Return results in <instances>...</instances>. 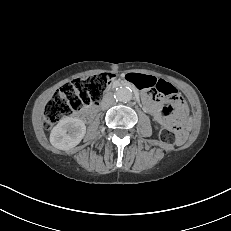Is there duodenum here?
<instances>
[{"mask_svg": "<svg viewBox=\"0 0 231 231\" xmlns=\"http://www.w3.org/2000/svg\"><path fill=\"white\" fill-rule=\"evenodd\" d=\"M143 98V97H142ZM145 103H147V101L145 102ZM97 109L96 108H94V109H92V110H90L89 112H87V114L88 115H91L92 114V112H94V111H96Z\"/></svg>", "mask_w": 231, "mask_h": 231, "instance_id": "1", "label": "duodenum"}]
</instances>
